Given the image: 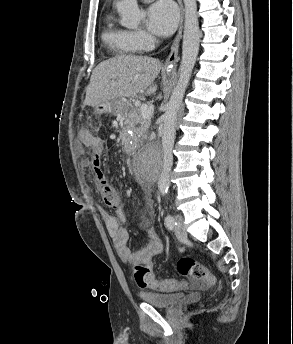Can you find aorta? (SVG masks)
Returning <instances> with one entry per match:
<instances>
[{
    "label": "aorta",
    "mask_w": 293,
    "mask_h": 344,
    "mask_svg": "<svg viewBox=\"0 0 293 344\" xmlns=\"http://www.w3.org/2000/svg\"><path fill=\"white\" fill-rule=\"evenodd\" d=\"M185 22L182 44V59L179 67V79L174 87L167 110L163 114L162 137V170L158 179V189L162 195L167 193L170 185V171L173 164V146L176 134L177 114L180 110L184 93L188 86L192 70L199 51L200 31L196 0H184ZM117 11L121 17V25L136 27L144 17V11L138 7L137 0H120ZM155 160L142 153L137 160L138 170L151 171Z\"/></svg>",
    "instance_id": "obj_1"
}]
</instances>
